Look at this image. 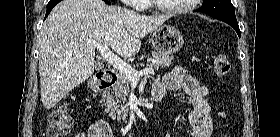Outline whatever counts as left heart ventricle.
Returning a JSON list of instances; mask_svg holds the SVG:
<instances>
[{"mask_svg": "<svg viewBox=\"0 0 280 137\" xmlns=\"http://www.w3.org/2000/svg\"><path fill=\"white\" fill-rule=\"evenodd\" d=\"M163 6L168 8H177L184 6L188 3L187 0H159Z\"/></svg>", "mask_w": 280, "mask_h": 137, "instance_id": "obj_1", "label": "left heart ventricle"}]
</instances>
